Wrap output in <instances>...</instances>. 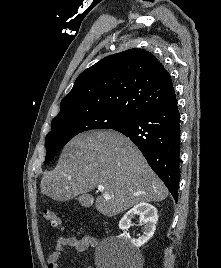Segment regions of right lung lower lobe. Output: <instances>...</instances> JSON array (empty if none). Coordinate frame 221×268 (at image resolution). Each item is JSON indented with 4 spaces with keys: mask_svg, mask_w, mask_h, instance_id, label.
I'll use <instances>...</instances> for the list:
<instances>
[{
    "mask_svg": "<svg viewBox=\"0 0 221 268\" xmlns=\"http://www.w3.org/2000/svg\"><path fill=\"white\" fill-rule=\"evenodd\" d=\"M112 129L129 137L138 146L177 202L180 180V113L177 101L141 113Z\"/></svg>",
    "mask_w": 221,
    "mask_h": 268,
    "instance_id": "right-lung-lower-lobe-1",
    "label": "right lung lower lobe"
}]
</instances>
